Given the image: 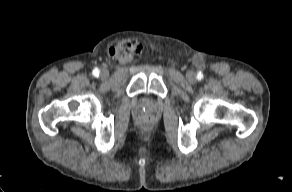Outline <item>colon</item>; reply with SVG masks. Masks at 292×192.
Segmentation results:
<instances>
[{
    "instance_id": "obj_1",
    "label": "colon",
    "mask_w": 292,
    "mask_h": 192,
    "mask_svg": "<svg viewBox=\"0 0 292 192\" xmlns=\"http://www.w3.org/2000/svg\"><path fill=\"white\" fill-rule=\"evenodd\" d=\"M124 50L127 52L139 53L140 47L133 41L125 43Z\"/></svg>"
}]
</instances>
